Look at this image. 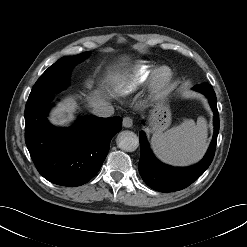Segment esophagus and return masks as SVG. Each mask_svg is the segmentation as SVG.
<instances>
[{
  "instance_id": "obj_1",
  "label": "esophagus",
  "mask_w": 247,
  "mask_h": 247,
  "mask_svg": "<svg viewBox=\"0 0 247 247\" xmlns=\"http://www.w3.org/2000/svg\"><path fill=\"white\" fill-rule=\"evenodd\" d=\"M133 125V119L131 117H124L123 118V126L125 128H130Z\"/></svg>"
}]
</instances>
